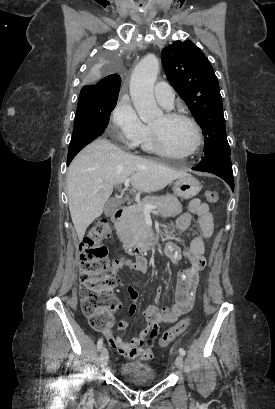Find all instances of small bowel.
I'll use <instances>...</instances> for the list:
<instances>
[{"instance_id":"1","label":"small bowel","mask_w":275,"mask_h":409,"mask_svg":"<svg viewBox=\"0 0 275 409\" xmlns=\"http://www.w3.org/2000/svg\"><path fill=\"white\" fill-rule=\"evenodd\" d=\"M197 217V222L193 221V217ZM176 228L179 232H184L188 229L192 231V237L187 247L183 250L176 246H169L167 252L173 265H177L180 257L183 255L189 261V267L181 270L178 273V285L175 296V303L171 307H159L157 302L162 295V287L158 286L155 289V304H151L143 312V317L147 323L144 326V331L139 337H129L128 340L121 338L118 334L104 332L105 340L112 351H126L128 360H152L153 352L156 347L153 341L156 339L154 334L160 332V327L157 323H174L181 315L187 313L193 306L197 287L200 280V272L204 268L206 260L204 257L205 240L209 239L213 233V219L209 205L201 201L199 198L193 199L189 204V212L181 214L176 221ZM129 268L134 271L144 273L146 271V262L143 259L138 261L123 260L118 261L113 271L117 272L120 269ZM117 284H125L128 293L132 299L138 298L137 290L127 283L126 277H117ZM119 307L123 306L122 302L118 303ZM136 305H130L128 313L135 314ZM124 314L122 311L119 313ZM119 330L122 332L127 327L126 319L118 320ZM146 335H145V334ZM151 334V335H149ZM123 356L121 353L118 355Z\"/></svg>"}]
</instances>
